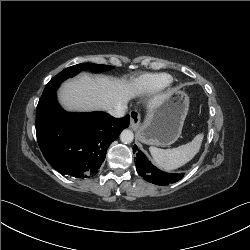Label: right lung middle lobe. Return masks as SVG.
Returning a JSON list of instances; mask_svg holds the SVG:
<instances>
[{"label": "right lung middle lobe", "instance_id": "right-lung-middle-lobe-1", "mask_svg": "<svg viewBox=\"0 0 250 250\" xmlns=\"http://www.w3.org/2000/svg\"><path fill=\"white\" fill-rule=\"evenodd\" d=\"M81 69H89V70H92L94 72H100V71H104V70H110V69H112V66L94 64V63H81V64H77V65L68 67V68L64 69L63 71H61L56 76H54L47 83L43 93L57 87L67 78L75 76L76 74H78L81 71Z\"/></svg>", "mask_w": 250, "mask_h": 250}]
</instances>
